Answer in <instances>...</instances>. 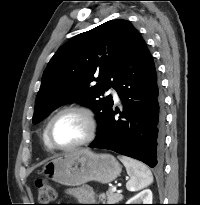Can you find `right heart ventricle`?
<instances>
[{
	"label": "right heart ventricle",
	"mask_w": 200,
	"mask_h": 205,
	"mask_svg": "<svg viewBox=\"0 0 200 205\" xmlns=\"http://www.w3.org/2000/svg\"><path fill=\"white\" fill-rule=\"evenodd\" d=\"M43 143L45 145V147L47 149H51L52 147L50 146V144L48 143L47 141V137H46V129L44 130V133H43Z\"/></svg>",
	"instance_id": "e07e8e85"
}]
</instances>
